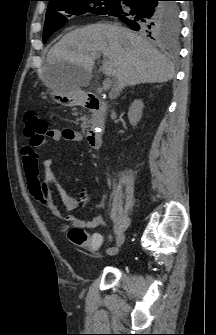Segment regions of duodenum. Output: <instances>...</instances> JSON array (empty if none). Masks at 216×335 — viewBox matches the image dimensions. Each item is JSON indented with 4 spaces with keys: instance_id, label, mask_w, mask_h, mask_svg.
<instances>
[{
    "instance_id": "1",
    "label": "duodenum",
    "mask_w": 216,
    "mask_h": 335,
    "mask_svg": "<svg viewBox=\"0 0 216 335\" xmlns=\"http://www.w3.org/2000/svg\"><path fill=\"white\" fill-rule=\"evenodd\" d=\"M84 105L94 113L93 122L86 134L87 141L92 148L98 149L104 129L105 101L97 95H89L85 98Z\"/></svg>"
}]
</instances>
